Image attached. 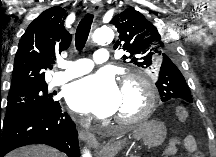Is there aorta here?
I'll return each mask as SVG.
<instances>
[{
  "label": "aorta",
  "instance_id": "1",
  "mask_svg": "<svg viewBox=\"0 0 216 157\" xmlns=\"http://www.w3.org/2000/svg\"><path fill=\"white\" fill-rule=\"evenodd\" d=\"M114 38V32L112 27L102 26L98 28L93 34V41L97 44H104L106 42L112 41ZM105 156H113L114 150H110L104 154ZM83 157H91L89 151H85Z\"/></svg>",
  "mask_w": 216,
  "mask_h": 157
}]
</instances>
